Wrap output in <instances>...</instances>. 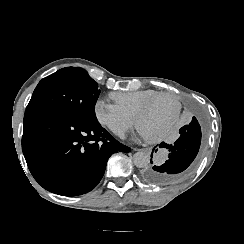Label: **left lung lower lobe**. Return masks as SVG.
I'll return each mask as SVG.
<instances>
[{"instance_id":"1","label":"left lung lower lobe","mask_w":244,"mask_h":244,"mask_svg":"<svg viewBox=\"0 0 244 244\" xmlns=\"http://www.w3.org/2000/svg\"><path fill=\"white\" fill-rule=\"evenodd\" d=\"M179 132L180 137L174 144L162 142L159 145L160 148L169 150V159L160 166H146L140 173L143 181L151 185L168 187L178 184L189 174L199 152L201 127L198 120L193 117L191 123L183 126Z\"/></svg>"}]
</instances>
